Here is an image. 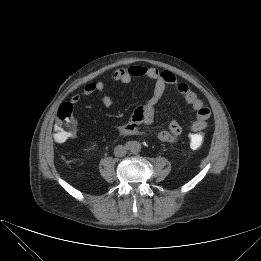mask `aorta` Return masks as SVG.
Wrapping results in <instances>:
<instances>
[{
	"instance_id": "1",
	"label": "aorta",
	"mask_w": 261,
	"mask_h": 261,
	"mask_svg": "<svg viewBox=\"0 0 261 261\" xmlns=\"http://www.w3.org/2000/svg\"><path fill=\"white\" fill-rule=\"evenodd\" d=\"M129 150L133 153H138L141 150V144L138 141H131L128 144Z\"/></svg>"
}]
</instances>
